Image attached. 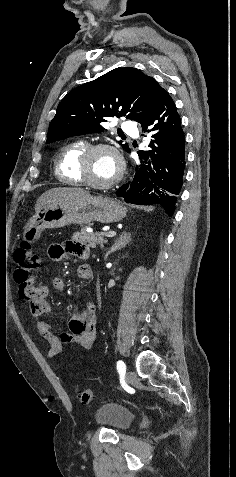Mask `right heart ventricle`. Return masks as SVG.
Segmentation results:
<instances>
[{
    "label": "right heart ventricle",
    "instance_id": "1",
    "mask_svg": "<svg viewBox=\"0 0 236 477\" xmlns=\"http://www.w3.org/2000/svg\"><path fill=\"white\" fill-rule=\"evenodd\" d=\"M86 143L75 141L65 145L55 162V174L58 180L70 185H81L82 181L77 172L78 159Z\"/></svg>",
    "mask_w": 236,
    "mask_h": 477
}]
</instances>
